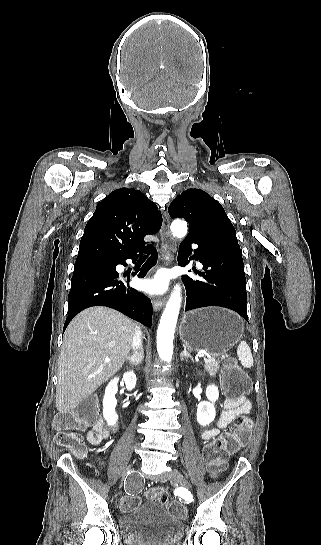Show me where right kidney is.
I'll use <instances>...</instances> for the list:
<instances>
[{"mask_svg":"<svg viewBox=\"0 0 321 545\" xmlns=\"http://www.w3.org/2000/svg\"><path fill=\"white\" fill-rule=\"evenodd\" d=\"M118 381L119 379L115 377V379H112L105 389L103 399V417L105 421H107V425H115L116 421H118V415L115 411V407L117 405L115 395L118 391ZM122 381H124L127 391H132L136 385V375L134 371L124 373Z\"/></svg>","mask_w":321,"mask_h":545,"instance_id":"right-kidney-1","label":"right kidney"}]
</instances>
